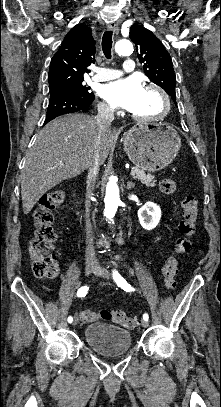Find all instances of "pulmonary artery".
Returning <instances> with one entry per match:
<instances>
[{"instance_id": "pulmonary-artery-1", "label": "pulmonary artery", "mask_w": 221, "mask_h": 407, "mask_svg": "<svg viewBox=\"0 0 221 407\" xmlns=\"http://www.w3.org/2000/svg\"><path fill=\"white\" fill-rule=\"evenodd\" d=\"M135 70V63L132 56L123 58V70H117L109 67L100 68L99 72L93 77L95 82H103L113 80L123 73H131Z\"/></svg>"}]
</instances>
